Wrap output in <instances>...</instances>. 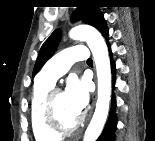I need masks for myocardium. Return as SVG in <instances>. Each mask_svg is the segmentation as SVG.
<instances>
[{
	"instance_id": "obj_1",
	"label": "myocardium",
	"mask_w": 155,
	"mask_h": 141,
	"mask_svg": "<svg viewBox=\"0 0 155 141\" xmlns=\"http://www.w3.org/2000/svg\"><path fill=\"white\" fill-rule=\"evenodd\" d=\"M59 93H61L60 89L52 88L44 98L43 118L45 125L49 130L59 135L73 133L81 127L84 119L83 117H79L71 126H64L60 123L54 107V98Z\"/></svg>"
}]
</instances>
